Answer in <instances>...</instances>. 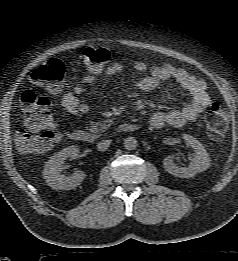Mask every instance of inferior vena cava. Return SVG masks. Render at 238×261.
<instances>
[{
	"instance_id": "inferior-vena-cava-1",
	"label": "inferior vena cava",
	"mask_w": 238,
	"mask_h": 261,
	"mask_svg": "<svg viewBox=\"0 0 238 261\" xmlns=\"http://www.w3.org/2000/svg\"><path fill=\"white\" fill-rule=\"evenodd\" d=\"M111 140H103L97 144L99 151H106L110 146Z\"/></svg>"
}]
</instances>
